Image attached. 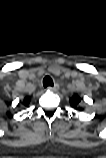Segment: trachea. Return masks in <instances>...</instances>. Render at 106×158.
Wrapping results in <instances>:
<instances>
[{
  "mask_svg": "<svg viewBox=\"0 0 106 158\" xmlns=\"http://www.w3.org/2000/svg\"><path fill=\"white\" fill-rule=\"evenodd\" d=\"M53 80L50 76H45V78L43 79V86L46 88L48 86H53Z\"/></svg>",
  "mask_w": 106,
  "mask_h": 158,
  "instance_id": "trachea-1",
  "label": "trachea"
}]
</instances>
